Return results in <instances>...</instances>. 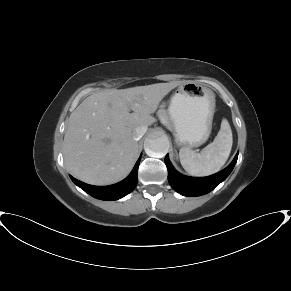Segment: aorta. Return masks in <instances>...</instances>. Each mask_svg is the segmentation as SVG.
<instances>
[{
    "label": "aorta",
    "instance_id": "aorta-1",
    "mask_svg": "<svg viewBox=\"0 0 291 291\" xmlns=\"http://www.w3.org/2000/svg\"><path fill=\"white\" fill-rule=\"evenodd\" d=\"M145 152L152 157H162L169 149V141L165 136H151L144 142Z\"/></svg>",
    "mask_w": 291,
    "mask_h": 291
}]
</instances>
